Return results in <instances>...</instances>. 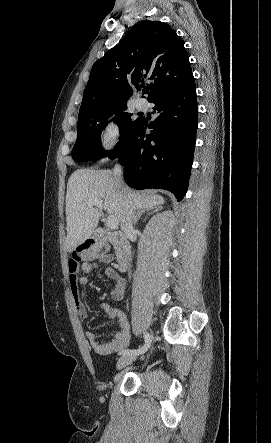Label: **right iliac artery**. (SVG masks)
I'll return each mask as SVG.
<instances>
[{"label": "right iliac artery", "instance_id": "obj_1", "mask_svg": "<svg viewBox=\"0 0 271 443\" xmlns=\"http://www.w3.org/2000/svg\"><path fill=\"white\" fill-rule=\"evenodd\" d=\"M145 344L139 349H124L119 352L120 355H139L145 353L150 347L152 337L148 333H144Z\"/></svg>", "mask_w": 271, "mask_h": 443}]
</instances>
